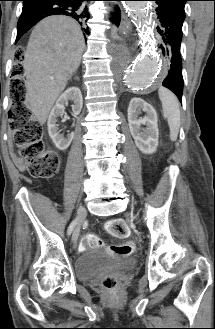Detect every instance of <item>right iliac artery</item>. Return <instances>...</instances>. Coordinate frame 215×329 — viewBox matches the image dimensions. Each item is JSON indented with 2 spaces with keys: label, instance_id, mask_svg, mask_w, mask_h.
<instances>
[{
  "label": "right iliac artery",
  "instance_id": "1",
  "mask_svg": "<svg viewBox=\"0 0 215 329\" xmlns=\"http://www.w3.org/2000/svg\"><path fill=\"white\" fill-rule=\"evenodd\" d=\"M76 224H77V221H76V220H74V221L70 224V226H69V228H68V235H70V234L72 233V231H73V229H74V227H75Z\"/></svg>",
  "mask_w": 215,
  "mask_h": 329
}]
</instances>
